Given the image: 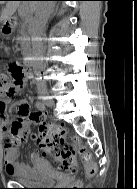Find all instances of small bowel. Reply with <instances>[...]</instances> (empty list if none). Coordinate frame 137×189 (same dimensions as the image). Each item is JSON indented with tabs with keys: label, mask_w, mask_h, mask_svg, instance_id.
Wrapping results in <instances>:
<instances>
[{
	"label": "small bowel",
	"mask_w": 137,
	"mask_h": 189,
	"mask_svg": "<svg viewBox=\"0 0 137 189\" xmlns=\"http://www.w3.org/2000/svg\"><path fill=\"white\" fill-rule=\"evenodd\" d=\"M6 103L7 100L3 97L2 98L0 97V139L2 140L4 145V167L7 174L9 175H13L15 173L19 175H26L29 173L30 170L29 165H27L26 163L17 162V145L21 143L22 137L14 136L11 133L10 128L8 129L9 118L5 113ZM23 106L29 107V105L25 101H21L16 105L17 115L14 118V120L17 119L22 120L25 129L28 130L29 122L26 119V116L21 114L20 112V109ZM30 157L33 161H37L39 159V156L36 153H32Z\"/></svg>",
	"instance_id": "obj_1"
}]
</instances>
